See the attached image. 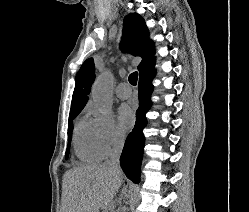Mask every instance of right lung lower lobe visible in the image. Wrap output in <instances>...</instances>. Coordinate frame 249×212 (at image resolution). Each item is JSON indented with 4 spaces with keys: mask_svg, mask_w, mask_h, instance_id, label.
Here are the masks:
<instances>
[{
    "mask_svg": "<svg viewBox=\"0 0 249 212\" xmlns=\"http://www.w3.org/2000/svg\"><path fill=\"white\" fill-rule=\"evenodd\" d=\"M154 75V62L140 72L138 84L139 108L136 111V123L125 141L120 158V164L124 173L134 183H139L140 181V167L145 142L142 130L147 124L145 114L151 107L150 96L153 90L152 79Z\"/></svg>",
    "mask_w": 249,
    "mask_h": 212,
    "instance_id": "obj_1",
    "label": "right lung lower lobe"
}]
</instances>
